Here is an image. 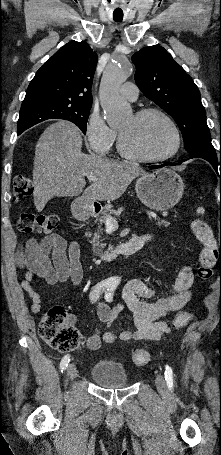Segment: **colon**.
Masks as SVG:
<instances>
[{"label": "colon", "instance_id": "5ec220e1", "mask_svg": "<svg viewBox=\"0 0 221 455\" xmlns=\"http://www.w3.org/2000/svg\"><path fill=\"white\" fill-rule=\"evenodd\" d=\"M33 193L32 181L24 176H17L13 182V200L19 202ZM59 218L52 213L22 212L18 217V228L21 232L49 234L58 225ZM192 230L202 245L199 253L197 274L199 279L207 281L212 277L217 259L221 257V243L217 244L207 223L201 219H194ZM192 319L187 311L179 312L174 318V326L180 328ZM41 338L52 348L58 351H71L82 344V337L68 319L67 312L62 306L50 308L42 317L39 324ZM149 361V353L138 350L132 353L131 362L135 366H144Z\"/></svg>", "mask_w": 221, "mask_h": 455}]
</instances>
